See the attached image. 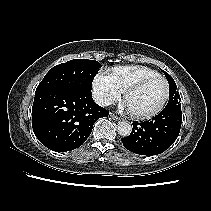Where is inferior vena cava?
Masks as SVG:
<instances>
[{
	"mask_svg": "<svg viewBox=\"0 0 211 211\" xmlns=\"http://www.w3.org/2000/svg\"><path fill=\"white\" fill-rule=\"evenodd\" d=\"M95 102L100 106H109L112 104V99L103 97V96H95L94 97Z\"/></svg>",
	"mask_w": 211,
	"mask_h": 211,
	"instance_id": "1",
	"label": "inferior vena cava"
}]
</instances>
